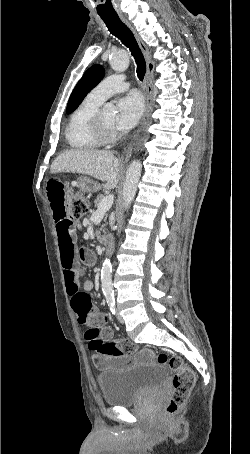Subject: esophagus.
Wrapping results in <instances>:
<instances>
[{
    "mask_svg": "<svg viewBox=\"0 0 250 454\" xmlns=\"http://www.w3.org/2000/svg\"><path fill=\"white\" fill-rule=\"evenodd\" d=\"M121 19L130 27L128 21L123 16H121ZM135 37H136L137 42H138V44H139V46H140V48H141V50H142V52L144 54V57H145L146 63H147V73H146V77H145L146 110H145V114H144V118H143V122H142V127H143L146 124V122H147V120H148V118L150 116V113L152 111V99H151V97H152V80H153V74H154V63L151 60L150 52H149L147 46L140 39L139 36H137L135 34Z\"/></svg>",
    "mask_w": 250,
    "mask_h": 454,
    "instance_id": "1",
    "label": "esophagus"
}]
</instances>
